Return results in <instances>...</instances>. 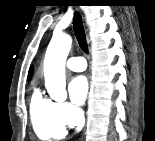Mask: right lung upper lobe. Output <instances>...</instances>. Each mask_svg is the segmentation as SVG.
<instances>
[{
  "instance_id": "right-lung-upper-lobe-1",
  "label": "right lung upper lobe",
  "mask_w": 155,
  "mask_h": 141,
  "mask_svg": "<svg viewBox=\"0 0 155 141\" xmlns=\"http://www.w3.org/2000/svg\"><path fill=\"white\" fill-rule=\"evenodd\" d=\"M32 74V69L29 70V76Z\"/></svg>"
}]
</instances>
